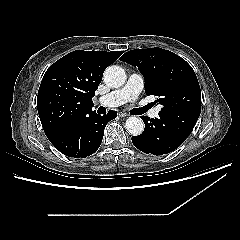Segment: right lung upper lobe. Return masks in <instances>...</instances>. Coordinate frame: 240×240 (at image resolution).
<instances>
[{
  "label": "right lung upper lobe",
  "instance_id": "cb5924a9",
  "mask_svg": "<svg viewBox=\"0 0 240 240\" xmlns=\"http://www.w3.org/2000/svg\"><path fill=\"white\" fill-rule=\"evenodd\" d=\"M122 51H73L46 71L37 98L38 114L46 136L92 111V97L104 70Z\"/></svg>",
  "mask_w": 240,
  "mask_h": 240
}]
</instances>
